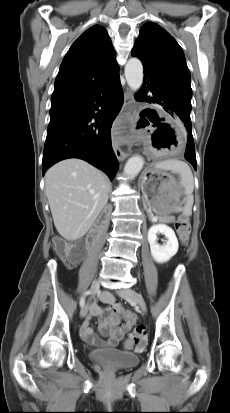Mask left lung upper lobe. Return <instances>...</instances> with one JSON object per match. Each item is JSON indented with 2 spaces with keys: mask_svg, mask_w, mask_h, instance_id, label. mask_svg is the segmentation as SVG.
Returning a JSON list of instances; mask_svg holds the SVG:
<instances>
[{
  "mask_svg": "<svg viewBox=\"0 0 230 413\" xmlns=\"http://www.w3.org/2000/svg\"><path fill=\"white\" fill-rule=\"evenodd\" d=\"M131 53L142 61L145 73L157 78L166 92L191 109L192 89L184 53L166 30L147 22L140 29Z\"/></svg>",
  "mask_w": 230,
  "mask_h": 413,
  "instance_id": "left-lung-upper-lobe-1",
  "label": "left lung upper lobe"
}]
</instances>
